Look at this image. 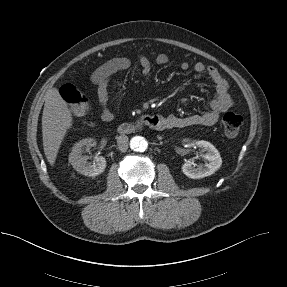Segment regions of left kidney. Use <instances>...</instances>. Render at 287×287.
Wrapping results in <instances>:
<instances>
[{"label":"left kidney","mask_w":287,"mask_h":287,"mask_svg":"<svg viewBox=\"0 0 287 287\" xmlns=\"http://www.w3.org/2000/svg\"><path fill=\"white\" fill-rule=\"evenodd\" d=\"M195 144L206 152L203 157L208 162L204 166L195 168L193 163L188 161L182 166L183 173L192 179H200L214 174L222 165V159L218 150L208 141H196Z\"/></svg>","instance_id":"5707ae66"}]
</instances>
